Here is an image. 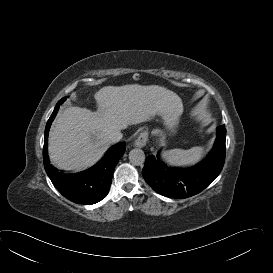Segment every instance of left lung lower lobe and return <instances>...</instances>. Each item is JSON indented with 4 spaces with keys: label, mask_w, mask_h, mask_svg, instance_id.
<instances>
[{
    "label": "left lung lower lobe",
    "mask_w": 273,
    "mask_h": 273,
    "mask_svg": "<svg viewBox=\"0 0 273 273\" xmlns=\"http://www.w3.org/2000/svg\"><path fill=\"white\" fill-rule=\"evenodd\" d=\"M225 138L224 135L217 136L209 155L190 168L167 167L160 158V151L157 157L149 155L142 175L155 192L165 197L187 198L196 195L220 174L225 161Z\"/></svg>",
    "instance_id": "left-lung-lower-lobe-1"
}]
</instances>
